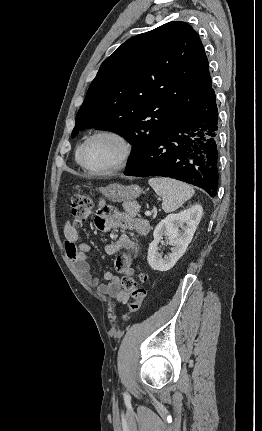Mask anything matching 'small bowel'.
<instances>
[{"label":"small bowel","mask_w":262,"mask_h":431,"mask_svg":"<svg viewBox=\"0 0 262 431\" xmlns=\"http://www.w3.org/2000/svg\"><path fill=\"white\" fill-rule=\"evenodd\" d=\"M105 205L104 200H100L97 203L100 209L104 208ZM95 224L98 229L104 231L133 229L141 237L147 236L150 226L148 221L143 218H132L127 213L119 211L109 215H97ZM63 233L67 257L80 278L101 296L111 297L119 304L125 303L127 296L121 289V276H131L133 274L132 263L135 258L141 255V244L128 234H122L116 241L108 244L105 247L107 255L113 256L124 250H130L132 254H120L115 263L119 275L106 272L104 274V282H102L93 275L91 264L86 255L91 250V247L88 244L79 242L78 232L69 220L64 224Z\"/></svg>","instance_id":"1"}]
</instances>
